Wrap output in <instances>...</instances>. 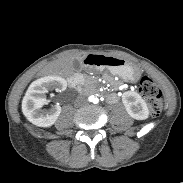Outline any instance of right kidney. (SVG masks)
Listing matches in <instances>:
<instances>
[{"label":"right kidney","mask_w":183,"mask_h":183,"mask_svg":"<svg viewBox=\"0 0 183 183\" xmlns=\"http://www.w3.org/2000/svg\"><path fill=\"white\" fill-rule=\"evenodd\" d=\"M66 87L67 82L59 76H47L34 81L22 101V112L27 120L40 127L52 126L61 113V107L57 105L49 111L42 110L46 104L45 94L53 89L61 92Z\"/></svg>","instance_id":"1"}]
</instances>
